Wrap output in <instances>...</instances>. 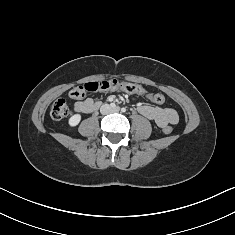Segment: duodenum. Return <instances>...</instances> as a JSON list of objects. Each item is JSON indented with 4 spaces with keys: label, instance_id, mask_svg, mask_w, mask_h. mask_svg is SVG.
Returning <instances> with one entry per match:
<instances>
[{
    "label": "duodenum",
    "instance_id": "1",
    "mask_svg": "<svg viewBox=\"0 0 235 235\" xmlns=\"http://www.w3.org/2000/svg\"><path fill=\"white\" fill-rule=\"evenodd\" d=\"M99 108V104H95L91 107L90 113L94 112L95 110H97Z\"/></svg>",
    "mask_w": 235,
    "mask_h": 235
}]
</instances>
